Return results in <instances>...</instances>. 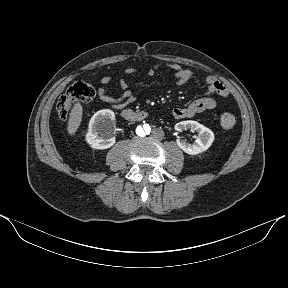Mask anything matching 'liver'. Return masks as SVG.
<instances>
[{"instance_id":"obj_1","label":"liver","mask_w":288,"mask_h":288,"mask_svg":"<svg viewBox=\"0 0 288 288\" xmlns=\"http://www.w3.org/2000/svg\"><path fill=\"white\" fill-rule=\"evenodd\" d=\"M82 105L80 103L74 104L71 112H70V117L68 121V133L70 135H74L77 131V129L80 126L81 120H82Z\"/></svg>"}]
</instances>
